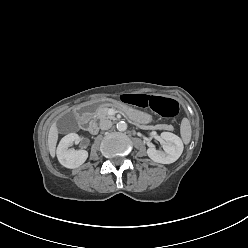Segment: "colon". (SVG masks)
I'll return each mask as SVG.
<instances>
[{"label":"colon","mask_w":248,"mask_h":248,"mask_svg":"<svg viewBox=\"0 0 248 248\" xmlns=\"http://www.w3.org/2000/svg\"><path fill=\"white\" fill-rule=\"evenodd\" d=\"M121 100L128 104H135L141 107H150L159 115L172 118L177 115L178 103L170 98L161 96H151L146 94H122Z\"/></svg>","instance_id":"5ec220e1"}]
</instances>
